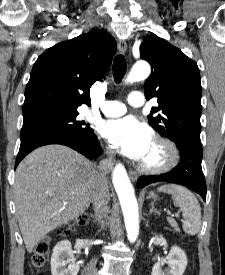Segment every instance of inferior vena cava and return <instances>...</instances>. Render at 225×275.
Masks as SVG:
<instances>
[{"label": "inferior vena cava", "mask_w": 225, "mask_h": 275, "mask_svg": "<svg viewBox=\"0 0 225 275\" xmlns=\"http://www.w3.org/2000/svg\"><path fill=\"white\" fill-rule=\"evenodd\" d=\"M112 156L100 162L91 187V201L95 210L97 220L103 224L108 211L109 187L107 181L108 170L112 167Z\"/></svg>", "instance_id": "inferior-vena-cava-1"}]
</instances>
